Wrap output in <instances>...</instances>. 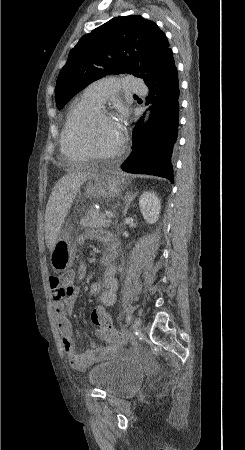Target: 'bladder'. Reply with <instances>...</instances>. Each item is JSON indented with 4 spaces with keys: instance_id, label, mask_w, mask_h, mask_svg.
<instances>
[{
    "instance_id": "31cf9c89",
    "label": "bladder",
    "mask_w": 245,
    "mask_h": 450,
    "mask_svg": "<svg viewBox=\"0 0 245 450\" xmlns=\"http://www.w3.org/2000/svg\"><path fill=\"white\" fill-rule=\"evenodd\" d=\"M141 372L129 359L94 365L86 379L91 385L116 396H129L141 383Z\"/></svg>"
}]
</instances>
